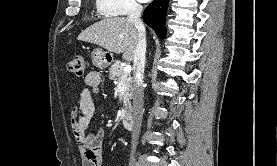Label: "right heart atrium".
Here are the masks:
<instances>
[{
    "instance_id": "d8ad5b80",
    "label": "right heart atrium",
    "mask_w": 277,
    "mask_h": 166,
    "mask_svg": "<svg viewBox=\"0 0 277 166\" xmlns=\"http://www.w3.org/2000/svg\"><path fill=\"white\" fill-rule=\"evenodd\" d=\"M139 0H97L98 10L107 16L135 13L140 10Z\"/></svg>"
}]
</instances>
